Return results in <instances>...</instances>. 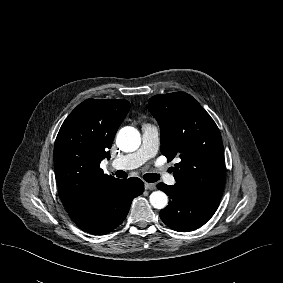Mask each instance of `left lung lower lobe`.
I'll return each mask as SVG.
<instances>
[{"label": "left lung lower lobe", "instance_id": "1", "mask_svg": "<svg viewBox=\"0 0 283 283\" xmlns=\"http://www.w3.org/2000/svg\"><path fill=\"white\" fill-rule=\"evenodd\" d=\"M157 188L169 196V205L160 211L163 222L173 230L188 232L204 225L215 213L219 201L203 198L180 183H159Z\"/></svg>", "mask_w": 283, "mask_h": 283}]
</instances>
